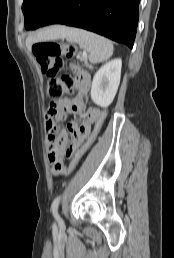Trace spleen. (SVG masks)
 <instances>
[{"label": "spleen", "mask_w": 174, "mask_h": 258, "mask_svg": "<svg viewBox=\"0 0 174 258\" xmlns=\"http://www.w3.org/2000/svg\"><path fill=\"white\" fill-rule=\"evenodd\" d=\"M62 37L68 42L77 43L88 53L89 61L99 63L109 59L113 54V45L110 40L79 28L64 27Z\"/></svg>", "instance_id": "1"}]
</instances>
